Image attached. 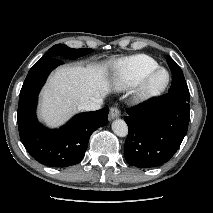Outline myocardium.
<instances>
[{
    "instance_id": "obj_1",
    "label": "myocardium",
    "mask_w": 213,
    "mask_h": 213,
    "mask_svg": "<svg viewBox=\"0 0 213 213\" xmlns=\"http://www.w3.org/2000/svg\"><path fill=\"white\" fill-rule=\"evenodd\" d=\"M160 73H165V80L155 84V79ZM170 83V73L167 69L158 67L145 76L136 87L133 101L136 104H145L162 95Z\"/></svg>"
}]
</instances>
